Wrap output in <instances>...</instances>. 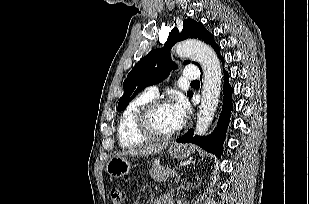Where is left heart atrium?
<instances>
[{"mask_svg": "<svg viewBox=\"0 0 309 204\" xmlns=\"http://www.w3.org/2000/svg\"><path fill=\"white\" fill-rule=\"evenodd\" d=\"M171 106L176 117L177 125L181 127L189 115V104L183 97H179Z\"/></svg>", "mask_w": 309, "mask_h": 204, "instance_id": "1", "label": "left heart atrium"}]
</instances>
